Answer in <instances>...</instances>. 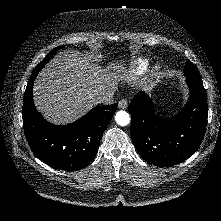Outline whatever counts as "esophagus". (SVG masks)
<instances>
[{
    "label": "esophagus",
    "mask_w": 221,
    "mask_h": 221,
    "mask_svg": "<svg viewBox=\"0 0 221 221\" xmlns=\"http://www.w3.org/2000/svg\"><path fill=\"white\" fill-rule=\"evenodd\" d=\"M118 107L121 109H126L128 107V101L126 99H121L118 102Z\"/></svg>",
    "instance_id": "esophagus-1"
}]
</instances>
